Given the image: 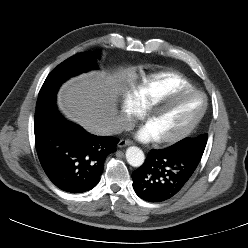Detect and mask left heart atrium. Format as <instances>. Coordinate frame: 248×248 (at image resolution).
<instances>
[{"mask_svg":"<svg viewBox=\"0 0 248 248\" xmlns=\"http://www.w3.org/2000/svg\"><path fill=\"white\" fill-rule=\"evenodd\" d=\"M137 137L142 141H153L158 139L156 134L148 125H145L138 131Z\"/></svg>","mask_w":248,"mask_h":248,"instance_id":"39dd6f15","label":"left heart atrium"}]
</instances>
